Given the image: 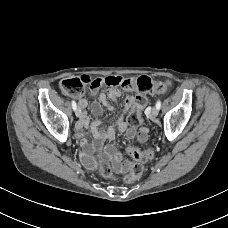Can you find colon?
Masks as SVG:
<instances>
[{"instance_id":"1","label":"colon","mask_w":228,"mask_h":228,"mask_svg":"<svg viewBox=\"0 0 228 228\" xmlns=\"http://www.w3.org/2000/svg\"><path fill=\"white\" fill-rule=\"evenodd\" d=\"M104 85L122 86L127 90H132L137 93L134 98V106L127 122L131 127H138L143 122L142 111L146 106L145 95L150 93H162L166 91L169 87V82L154 81L148 76H140L138 78L108 76L103 79H95L93 81H89L83 77L64 79L60 83V88L64 94L78 96L83 93L85 87L87 86L89 89L95 90ZM127 153L134 159V161L127 162L124 165V181L126 183H133L137 181L143 173L142 163L151 160L154 156V151L152 149L141 151L133 146H129L127 148ZM99 171L105 178H114L112 167L107 161H101L99 163Z\"/></svg>"}]
</instances>
